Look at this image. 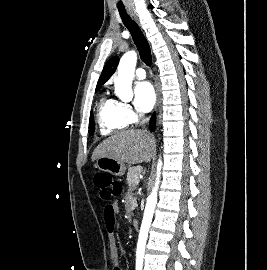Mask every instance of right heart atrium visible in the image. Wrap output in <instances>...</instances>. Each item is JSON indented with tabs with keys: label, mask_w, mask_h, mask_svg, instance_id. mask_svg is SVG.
I'll list each match as a JSON object with an SVG mask.
<instances>
[{
	"label": "right heart atrium",
	"mask_w": 267,
	"mask_h": 270,
	"mask_svg": "<svg viewBox=\"0 0 267 270\" xmlns=\"http://www.w3.org/2000/svg\"><path fill=\"white\" fill-rule=\"evenodd\" d=\"M120 107L121 115L130 123L136 122L138 120L137 113L132 109V107L126 102H118Z\"/></svg>",
	"instance_id": "right-heart-atrium-1"
}]
</instances>
